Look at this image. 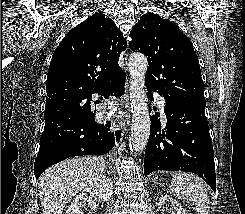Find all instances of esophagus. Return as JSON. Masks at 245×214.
Here are the masks:
<instances>
[{
	"label": "esophagus",
	"instance_id": "esophagus-1",
	"mask_svg": "<svg viewBox=\"0 0 245 214\" xmlns=\"http://www.w3.org/2000/svg\"><path fill=\"white\" fill-rule=\"evenodd\" d=\"M128 87H129V84L126 83L124 96L120 100V104L125 107V111L120 114V116L118 117L117 124H115L113 127V134H114V138H115V147L116 148L120 145V143L123 139L125 122L128 123V120L130 119V105H129Z\"/></svg>",
	"mask_w": 245,
	"mask_h": 214
}]
</instances>
